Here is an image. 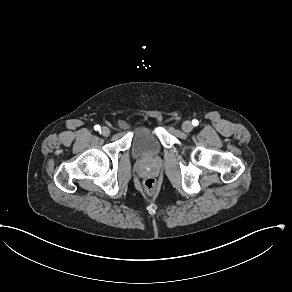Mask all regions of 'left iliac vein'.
Masks as SVG:
<instances>
[{"mask_svg": "<svg viewBox=\"0 0 292 292\" xmlns=\"http://www.w3.org/2000/svg\"><path fill=\"white\" fill-rule=\"evenodd\" d=\"M182 129L184 132L188 133L193 129V125L190 121H185L182 124Z\"/></svg>", "mask_w": 292, "mask_h": 292, "instance_id": "left-iliac-vein-1", "label": "left iliac vein"}]
</instances>
